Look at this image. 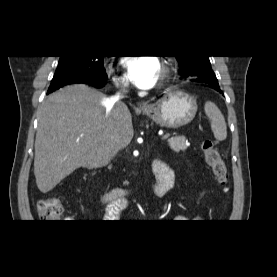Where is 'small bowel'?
I'll use <instances>...</instances> for the list:
<instances>
[{
  "label": "small bowel",
  "mask_w": 277,
  "mask_h": 277,
  "mask_svg": "<svg viewBox=\"0 0 277 277\" xmlns=\"http://www.w3.org/2000/svg\"><path fill=\"white\" fill-rule=\"evenodd\" d=\"M158 169H159L158 165L156 163H153V170H154L156 177L159 176ZM170 174H171V182L169 185L165 184L164 182H159V190H158L159 195H164L170 189V186L172 183V172L171 171H170Z\"/></svg>",
  "instance_id": "1"
}]
</instances>
